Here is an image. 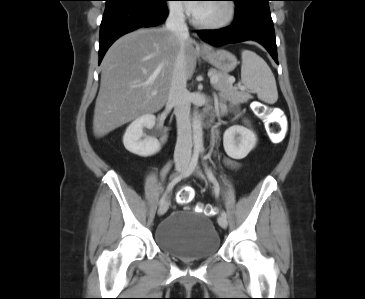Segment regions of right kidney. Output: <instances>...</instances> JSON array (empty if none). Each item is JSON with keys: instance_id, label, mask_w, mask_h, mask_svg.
<instances>
[{"instance_id": "right-kidney-1", "label": "right kidney", "mask_w": 365, "mask_h": 299, "mask_svg": "<svg viewBox=\"0 0 365 299\" xmlns=\"http://www.w3.org/2000/svg\"><path fill=\"white\" fill-rule=\"evenodd\" d=\"M155 125V116L145 114L135 119L126 129L123 136L125 148L138 156L147 157L157 153L161 144L155 137L144 136L143 128H152ZM144 137V138H143ZM143 138V139H142ZM165 140V137L162 141Z\"/></svg>"}]
</instances>
